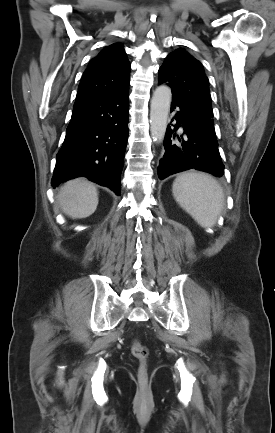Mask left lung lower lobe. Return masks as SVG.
Instances as JSON below:
<instances>
[{
  "label": "left lung lower lobe",
  "instance_id": "0a47b994",
  "mask_svg": "<svg viewBox=\"0 0 275 433\" xmlns=\"http://www.w3.org/2000/svg\"><path fill=\"white\" fill-rule=\"evenodd\" d=\"M174 109H178L174 117L177 122L174 129L168 126L166 130L165 152L157 168L159 179L189 169L222 177L224 165L218 150L215 131L198 122L189 106L175 94L172 97L171 112ZM177 125L183 128L182 135L176 134V130L180 127Z\"/></svg>",
  "mask_w": 275,
  "mask_h": 433
}]
</instances>
